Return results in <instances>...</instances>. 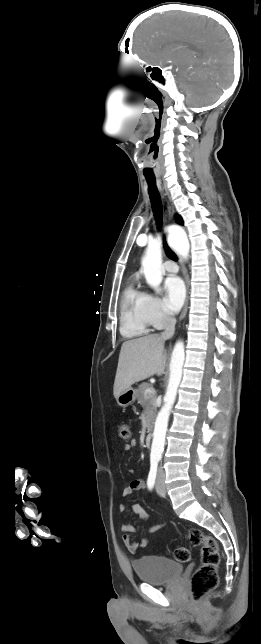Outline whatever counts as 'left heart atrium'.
Listing matches in <instances>:
<instances>
[{"label": "left heart atrium", "mask_w": 261, "mask_h": 644, "mask_svg": "<svg viewBox=\"0 0 261 644\" xmlns=\"http://www.w3.org/2000/svg\"><path fill=\"white\" fill-rule=\"evenodd\" d=\"M165 298L164 305L169 313H177L185 299V287L183 281L177 276H170L164 284Z\"/></svg>", "instance_id": "1"}]
</instances>
